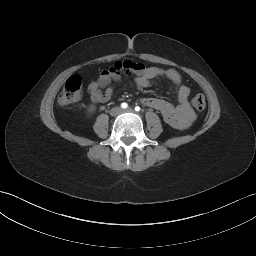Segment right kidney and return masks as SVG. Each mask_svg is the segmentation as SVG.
<instances>
[{
    "instance_id": "obj_1",
    "label": "right kidney",
    "mask_w": 256,
    "mask_h": 256,
    "mask_svg": "<svg viewBox=\"0 0 256 256\" xmlns=\"http://www.w3.org/2000/svg\"><path fill=\"white\" fill-rule=\"evenodd\" d=\"M94 108H95V107H94L93 105H91V106L89 107V109H88V112H89V113H92V112L94 111Z\"/></svg>"
}]
</instances>
